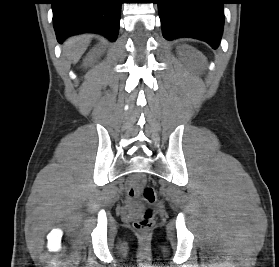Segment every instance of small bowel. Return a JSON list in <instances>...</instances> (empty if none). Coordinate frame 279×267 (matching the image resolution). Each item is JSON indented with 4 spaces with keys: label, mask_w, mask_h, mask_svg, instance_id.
<instances>
[{
    "label": "small bowel",
    "mask_w": 279,
    "mask_h": 267,
    "mask_svg": "<svg viewBox=\"0 0 279 267\" xmlns=\"http://www.w3.org/2000/svg\"><path fill=\"white\" fill-rule=\"evenodd\" d=\"M137 187H138V178L132 179L129 182V187H128V194L130 197H133L135 195Z\"/></svg>",
    "instance_id": "1"
}]
</instances>
